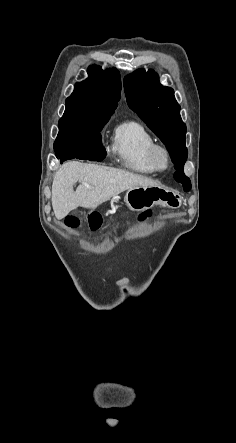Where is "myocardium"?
<instances>
[{
    "label": "myocardium",
    "instance_id": "1",
    "mask_svg": "<svg viewBox=\"0 0 236 443\" xmlns=\"http://www.w3.org/2000/svg\"><path fill=\"white\" fill-rule=\"evenodd\" d=\"M149 158L157 171H165L171 163V155L168 148L158 143H155L150 148Z\"/></svg>",
    "mask_w": 236,
    "mask_h": 443
}]
</instances>
